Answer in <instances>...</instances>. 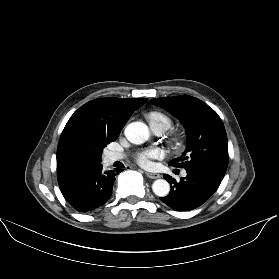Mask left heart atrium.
I'll list each match as a JSON object with an SVG mask.
<instances>
[{"instance_id":"39dd6f15","label":"left heart atrium","mask_w":279,"mask_h":279,"mask_svg":"<svg viewBox=\"0 0 279 279\" xmlns=\"http://www.w3.org/2000/svg\"><path fill=\"white\" fill-rule=\"evenodd\" d=\"M164 156H165V151L160 147L146 148L140 150L136 154V161L140 166L147 168L151 166L152 160L161 159Z\"/></svg>"}]
</instances>
